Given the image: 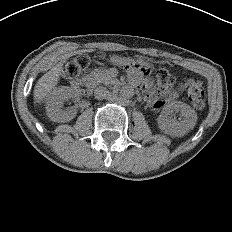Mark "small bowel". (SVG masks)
Instances as JSON below:
<instances>
[{"mask_svg": "<svg viewBox=\"0 0 232 232\" xmlns=\"http://www.w3.org/2000/svg\"><path fill=\"white\" fill-rule=\"evenodd\" d=\"M142 84V88L143 91L145 92V97L147 99V101L153 105L154 107H160L161 106V100H159L154 91L152 90V84L149 80H143L141 82ZM175 93H171L169 98H174L175 97Z\"/></svg>", "mask_w": 232, "mask_h": 232, "instance_id": "obj_1", "label": "small bowel"}]
</instances>
